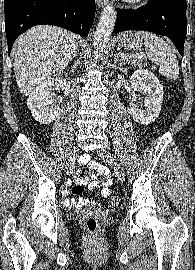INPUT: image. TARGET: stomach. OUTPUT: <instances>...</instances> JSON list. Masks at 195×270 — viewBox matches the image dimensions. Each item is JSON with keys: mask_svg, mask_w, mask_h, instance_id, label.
<instances>
[{"mask_svg": "<svg viewBox=\"0 0 195 270\" xmlns=\"http://www.w3.org/2000/svg\"><path fill=\"white\" fill-rule=\"evenodd\" d=\"M142 41L143 40L136 33L126 32L121 34V43L126 49H139L142 45Z\"/></svg>", "mask_w": 195, "mask_h": 270, "instance_id": "stomach-1", "label": "stomach"}]
</instances>
